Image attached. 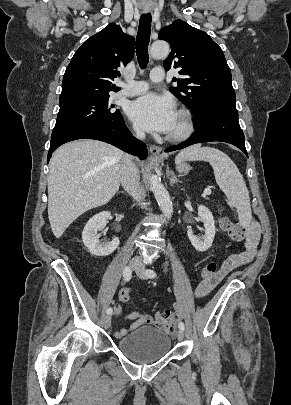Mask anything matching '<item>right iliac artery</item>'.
<instances>
[{
  "instance_id": "1",
  "label": "right iliac artery",
  "mask_w": 291,
  "mask_h": 405,
  "mask_svg": "<svg viewBox=\"0 0 291 405\" xmlns=\"http://www.w3.org/2000/svg\"><path fill=\"white\" fill-rule=\"evenodd\" d=\"M131 276H132L131 269L129 267H126L123 271V277H124L125 281H129L131 279ZM112 311H113V309L111 307H109L107 309V314H111Z\"/></svg>"
}]
</instances>
